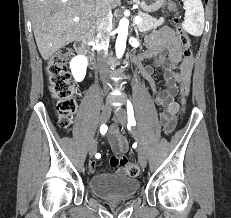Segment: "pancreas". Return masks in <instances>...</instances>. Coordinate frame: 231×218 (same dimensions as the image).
<instances>
[{"mask_svg":"<svg viewBox=\"0 0 231 218\" xmlns=\"http://www.w3.org/2000/svg\"><path fill=\"white\" fill-rule=\"evenodd\" d=\"M139 16L142 18V21L137 25V27L141 32H147L149 30L156 29L164 23L163 20L154 19L150 15L143 12H139Z\"/></svg>","mask_w":231,"mask_h":218,"instance_id":"pancreas-1","label":"pancreas"}]
</instances>
